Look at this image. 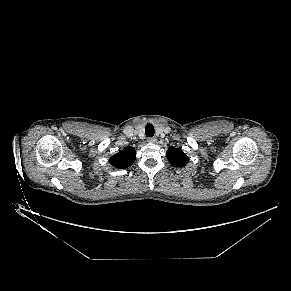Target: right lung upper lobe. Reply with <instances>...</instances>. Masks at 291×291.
<instances>
[{
	"label": "right lung upper lobe",
	"instance_id": "cb5924a9",
	"mask_svg": "<svg viewBox=\"0 0 291 291\" xmlns=\"http://www.w3.org/2000/svg\"><path fill=\"white\" fill-rule=\"evenodd\" d=\"M136 157L134 148L127 147L110 158L112 166L118 169H125L132 165Z\"/></svg>",
	"mask_w": 291,
	"mask_h": 291
}]
</instances>
